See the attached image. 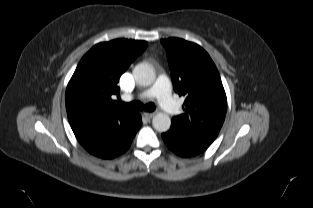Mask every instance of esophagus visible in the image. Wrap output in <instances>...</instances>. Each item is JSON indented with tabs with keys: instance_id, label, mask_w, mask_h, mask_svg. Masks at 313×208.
<instances>
[{
	"instance_id": "1",
	"label": "esophagus",
	"mask_w": 313,
	"mask_h": 208,
	"mask_svg": "<svg viewBox=\"0 0 313 208\" xmlns=\"http://www.w3.org/2000/svg\"><path fill=\"white\" fill-rule=\"evenodd\" d=\"M143 115L147 119H152L155 116V113L144 112Z\"/></svg>"
}]
</instances>
